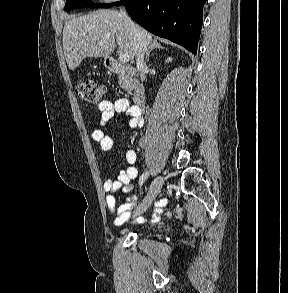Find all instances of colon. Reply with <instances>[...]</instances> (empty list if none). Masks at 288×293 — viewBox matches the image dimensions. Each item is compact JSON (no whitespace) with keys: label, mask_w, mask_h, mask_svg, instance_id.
Returning <instances> with one entry per match:
<instances>
[{"label":"colon","mask_w":288,"mask_h":293,"mask_svg":"<svg viewBox=\"0 0 288 293\" xmlns=\"http://www.w3.org/2000/svg\"><path fill=\"white\" fill-rule=\"evenodd\" d=\"M104 93L103 86L92 79H81L76 85V94L85 102L97 104Z\"/></svg>","instance_id":"1"}]
</instances>
